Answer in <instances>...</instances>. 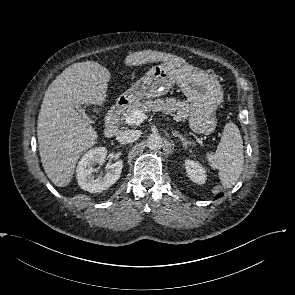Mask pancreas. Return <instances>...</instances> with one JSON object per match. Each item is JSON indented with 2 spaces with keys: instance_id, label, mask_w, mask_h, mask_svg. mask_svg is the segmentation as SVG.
Segmentation results:
<instances>
[{
  "instance_id": "cf45deb5",
  "label": "pancreas",
  "mask_w": 295,
  "mask_h": 295,
  "mask_svg": "<svg viewBox=\"0 0 295 295\" xmlns=\"http://www.w3.org/2000/svg\"><path fill=\"white\" fill-rule=\"evenodd\" d=\"M190 105L186 101H179L173 97L156 100H147L143 103H137L131 105L128 110L124 113L126 118L129 114L133 113L136 110L142 111L144 114L150 112H163L165 114L175 115L176 118L180 121H185L189 116Z\"/></svg>"
}]
</instances>
